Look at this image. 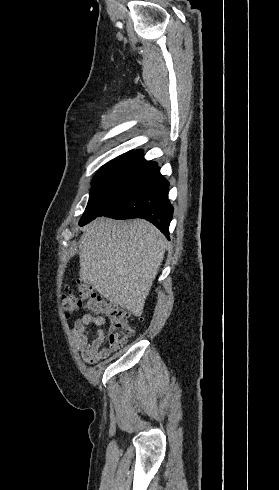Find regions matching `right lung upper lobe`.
Instances as JSON below:
<instances>
[{"mask_svg":"<svg viewBox=\"0 0 279 490\" xmlns=\"http://www.w3.org/2000/svg\"><path fill=\"white\" fill-rule=\"evenodd\" d=\"M111 162H127V163H136V164H156L155 162H148L143 158L142 150H132L129 151Z\"/></svg>","mask_w":279,"mask_h":490,"instance_id":"1","label":"right lung upper lobe"}]
</instances>
